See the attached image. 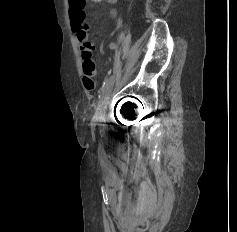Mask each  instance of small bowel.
<instances>
[{
  "label": "small bowel",
  "mask_w": 237,
  "mask_h": 232,
  "mask_svg": "<svg viewBox=\"0 0 237 232\" xmlns=\"http://www.w3.org/2000/svg\"><path fill=\"white\" fill-rule=\"evenodd\" d=\"M93 3H99L102 0H89ZM77 40L80 44V51L82 57V69H83V85L87 90H93L96 86V69L93 61L94 46L87 41L86 36L82 37L77 35Z\"/></svg>",
  "instance_id": "c3829d8e"
}]
</instances>
